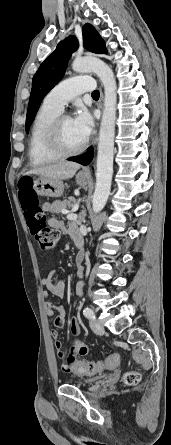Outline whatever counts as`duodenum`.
<instances>
[{"mask_svg":"<svg viewBox=\"0 0 171 445\" xmlns=\"http://www.w3.org/2000/svg\"><path fill=\"white\" fill-rule=\"evenodd\" d=\"M73 238H74V242H75L76 247L79 250H82L83 247H84V240H83L82 236L81 235H74ZM83 258H84V256H83L82 253L78 254V258L77 259L79 261H82Z\"/></svg>","mask_w":171,"mask_h":445,"instance_id":"410a0bca","label":"duodenum"}]
</instances>
